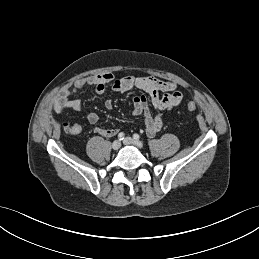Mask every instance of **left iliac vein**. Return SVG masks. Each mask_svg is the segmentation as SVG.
<instances>
[{"label":"left iliac vein","mask_w":259,"mask_h":259,"mask_svg":"<svg viewBox=\"0 0 259 259\" xmlns=\"http://www.w3.org/2000/svg\"><path fill=\"white\" fill-rule=\"evenodd\" d=\"M123 143L125 145H133V146H136L137 148H142L143 147V143L138 141V140H134L133 138L131 137H126L123 141Z\"/></svg>","instance_id":"obj_1"}]
</instances>
